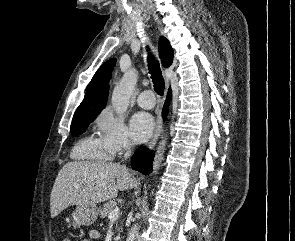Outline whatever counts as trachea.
<instances>
[{
  "label": "trachea",
  "instance_id": "obj_1",
  "mask_svg": "<svg viewBox=\"0 0 295 241\" xmlns=\"http://www.w3.org/2000/svg\"><path fill=\"white\" fill-rule=\"evenodd\" d=\"M148 68L151 74L152 81L154 83L155 92L158 95L163 96L165 84L162 78L160 65L157 61L154 60L152 56H148Z\"/></svg>",
  "mask_w": 295,
  "mask_h": 241
}]
</instances>
